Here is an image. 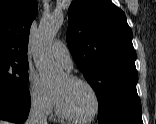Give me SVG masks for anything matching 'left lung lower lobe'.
<instances>
[{
  "label": "left lung lower lobe",
  "mask_w": 156,
  "mask_h": 124,
  "mask_svg": "<svg viewBox=\"0 0 156 124\" xmlns=\"http://www.w3.org/2000/svg\"><path fill=\"white\" fill-rule=\"evenodd\" d=\"M98 122L103 124H143L141 116L126 113L110 114L105 117L98 118Z\"/></svg>",
  "instance_id": "obj_1"
}]
</instances>
